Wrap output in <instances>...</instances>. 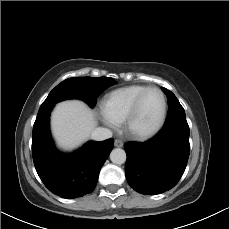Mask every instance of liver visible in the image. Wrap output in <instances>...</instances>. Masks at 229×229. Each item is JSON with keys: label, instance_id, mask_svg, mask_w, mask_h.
<instances>
[{"label": "liver", "instance_id": "6515ba94", "mask_svg": "<svg viewBox=\"0 0 229 229\" xmlns=\"http://www.w3.org/2000/svg\"><path fill=\"white\" fill-rule=\"evenodd\" d=\"M96 125L94 112L79 100L57 104L51 116L53 136L65 150L81 145L96 129Z\"/></svg>", "mask_w": 229, "mask_h": 229}]
</instances>
